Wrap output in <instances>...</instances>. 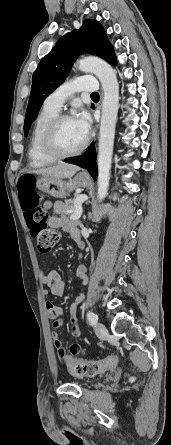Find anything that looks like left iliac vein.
<instances>
[{
  "mask_svg": "<svg viewBox=\"0 0 171 445\" xmlns=\"http://www.w3.org/2000/svg\"><path fill=\"white\" fill-rule=\"evenodd\" d=\"M95 333H96L99 337L104 338V337L107 336L108 331H107V328L105 327L104 324H102V323H98V324H96V326H95Z\"/></svg>",
  "mask_w": 171,
  "mask_h": 445,
  "instance_id": "4c4485c4",
  "label": "left iliac vein"
}]
</instances>
